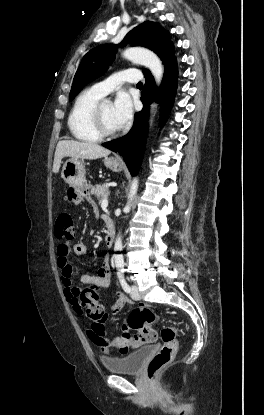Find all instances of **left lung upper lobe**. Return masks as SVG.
I'll list each match as a JSON object with an SVG mask.
<instances>
[{"label":"left lung upper lobe","mask_w":264,"mask_h":415,"mask_svg":"<svg viewBox=\"0 0 264 415\" xmlns=\"http://www.w3.org/2000/svg\"><path fill=\"white\" fill-rule=\"evenodd\" d=\"M130 42L133 46H144L153 50L162 60L164 66L174 56V45L169 39V32L160 27L159 23L146 21L130 31L121 42V46ZM117 52V46L106 44L89 51L82 59L74 76L69 101L90 81L98 78L108 69ZM144 75L150 74L146 69Z\"/></svg>","instance_id":"5c2ea615"}]
</instances>
